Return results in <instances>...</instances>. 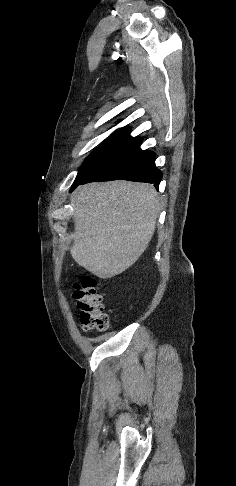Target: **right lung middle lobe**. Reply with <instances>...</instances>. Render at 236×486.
<instances>
[{
	"label": "right lung middle lobe",
	"mask_w": 236,
	"mask_h": 486,
	"mask_svg": "<svg viewBox=\"0 0 236 486\" xmlns=\"http://www.w3.org/2000/svg\"><path fill=\"white\" fill-rule=\"evenodd\" d=\"M130 132V128L123 127L116 130L105 139L100 147L95 149L84 161L73 183L71 191L84 180L90 172L132 140L133 137L130 136Z\"/></svg>",
	"instance_id": "1"
}]
</instances>
